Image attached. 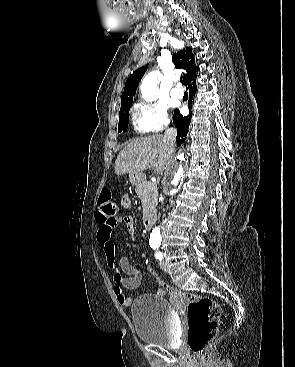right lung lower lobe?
I'll list each match as a JSON object with an SVG mask.
<instances>
[{
  "instance_id": "right-lung-lower-lobe-1",
  "label": "right lung lower lobe",
  "mask_w": 295,
  "mask_h": 367,
  "mask_svg": "<svg viewBox=\"0 0 295 367\" xmlns=\"http://www.w3.org/2000/svg\"><path fill=\"white\" fill-rule=\"evenodd\" d=\"M195 92H196V85L193 86L191 89H189V96H190V100L189 102L192 103L193 98L195 96ZM189 115L188 116H182L179 113V110H176L174 112L173 115V123L175 124L176 128H177V146H180L186 138V135L188 133V128H189V124L191 122V106L189 105Z\"/></svg>"
}]
</instances>
